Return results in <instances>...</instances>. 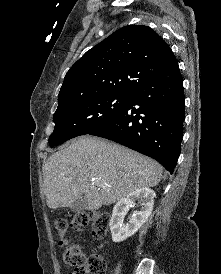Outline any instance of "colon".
Wrapping results in <instances>:
<instances>
[{
	"mask_svg": "<svg viewBox=\"0 0 221 274\" xmlns=\"http://www.w3.org/2000/svg\"><path fill=\"white\" fill-rule=\"evenodd\" d=\"M70 225L77 231H82L91 225L92 234L96 238H103L109 228V215L105 212H75L70 221ZM69 223L63 219L55 222L56 230L59 233V244L64 247L63 260L74 268L72 274H106V263L98 255L85 258L82 248L77 244H69L65 234Z\"/></svg>",
	"mask_w": 221,
	"mask_h": 274,
	"instance_id": "5ec220e1",
	"label": "colon"
}]
</instances>
